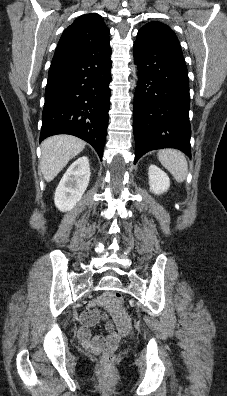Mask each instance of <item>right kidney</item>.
Wrapping results in <instances>:
<instances>
[{
  "label": "right kidney",
  "instance_id": "1",
  "mask_svg": "<svg viewBox=\"0 0 227 396\" xmlns=\"http://www.w3.org/2000/svg\"><path fill=\"white\" fill-rule=\"evenodd\" d=\"M90 180L89 160L86 156L73 162L63 175L55 191L56 207L66 212L81 200Z\"/></svg>",
  "mask_w": 227,
  "mask_h": 396
}]
</instances>
